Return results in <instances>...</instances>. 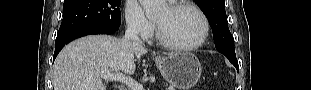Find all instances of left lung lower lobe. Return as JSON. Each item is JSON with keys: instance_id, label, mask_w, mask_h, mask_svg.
I'll list each match as a JSON object with an SVG mask.
<instances>
[{"instance_id": "obj_1", "label": "left lung lower lobe", "mask_w": 311, "mask_h": 90, "mask_svg": "<svg viewBox=\"0 0 311 90\" xmlns=\"http://www.w3.org/2000/svg\"><path fill=\"white\" fill-rule=\"evenodd\" d=\"M229 61L236 67L237 70L239 69L237 59H229Z\"/></svg>"}]
</instances>
